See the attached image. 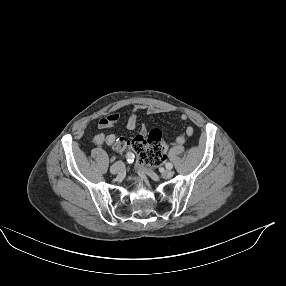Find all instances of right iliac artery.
Here are the masks:
<instances>
[{
    "label": "right iliac artery",
    "mask_w": 286,
    "mask_h": 286,
    "mask_svg": "<svg viewBox=\"0 0 286 286\" xmlns=\"http://www.w3.org/2000/svg\"><path fill=\"white\" fill-rule=\"evenodd\" d=\"M134 154L133 153H131V152H128L127 154H126V160H127V162L128 163H133L134 162Z\"/></svg>",
    "instance_id": "obj_1"
}]
</instances>
